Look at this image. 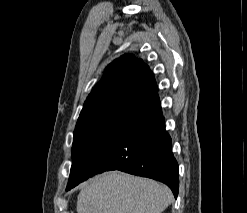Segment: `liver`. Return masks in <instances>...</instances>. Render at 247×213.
I'll list each match as a JSON object with an SVG mask.
<instances>
[{"label": "liver", "instance_id": "1", "mask_svg": "<svg viewBox=\"0 0 247 213\" xmlns=\"http://www.w3.org/2000/svg\"><path fill=\"white\" fill-rule=\"evenodd\" d=\"M171 202L172 193L167 186L112 171L84 185L76 210L77 213H161Z\"/></svg>", "mask_w": 247, "mask_h": 213}]
</instances>
